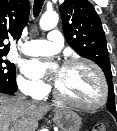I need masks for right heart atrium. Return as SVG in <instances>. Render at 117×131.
<instances>
[{
    "instance_id": "right-heart-atrium-1",
    "label": "right heart atrium",
    "mask_w": 117,
    "mask_h": 131,
    "mask_svg": "<svg viewBox=\"0 0 117 131\" xmlns=\"http://www.w3.org/2000/svg\"><path fill=\"white\" fill-rule=\"evenodd\" d=\"M17 84L22 93L34 99H40L48 92V86L46 84L38 80L28 79L24 76L17 78Z\"/></svg>"
}]
</instances>
